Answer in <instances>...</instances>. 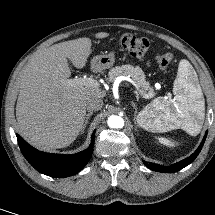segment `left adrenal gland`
<instances>
[{
  "label": "left adrenal gland",
  "mask_w": 215,
  "mask_h": 215,
  "mask_svg": "<svg viewBox=\"0 0 215 215\" xmlns=\"http://www.w3.org/2000/svg\"><path fill=\"white\" fill-rule=\"evenodd\" d=\"M132 103V106L133 108L135 109V117H136V114H137V107H136V104L134 102H131Z\"/></svg>",
  "instance_id": "a2214340"
}]
</instances>
